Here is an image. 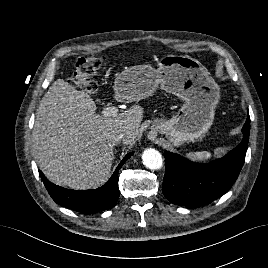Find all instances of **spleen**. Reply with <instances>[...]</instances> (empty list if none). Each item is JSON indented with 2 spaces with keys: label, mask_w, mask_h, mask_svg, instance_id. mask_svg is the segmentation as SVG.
<instances>
[{
  "label": "spleen",
  "mask_w": 268,
  "mask_h": 268,
  "mask_svg": "<svg viewBox=\"0 0 268 268\" xmlns=\"http://www.w3.org/2000/svg\"><path fill=\"white\" fill-rule=\"evenodd\" d=\"M186 156L193 161H206L211 158V153L207 151L191 152L187 153Z\"/></svg>",
  "instance_id": "3e777b00"
}]
</instances>
